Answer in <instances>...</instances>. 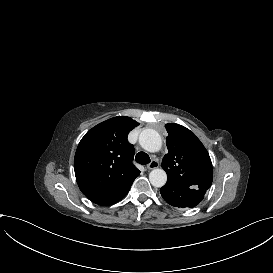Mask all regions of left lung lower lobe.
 I'll return each instance as SVG.
<instances>
[{
    "mask_svg": "<svg viewBox=\"0 0 273 273\" xmlns=\"http://www.w3.org/2000/svg\"><path fill=\"white\" fill-rule=\"evenodd\" d=\"M160 193L163 199L172 206L193 208L203 200L206 190L194 189L167 182L160 189Z\"/></svg>",
    "mask_w": 273,
    "mask_h": 273,
    "instance_id": "0a47b994",
    "label": "left lung lower lobe"
}]
</instances>
